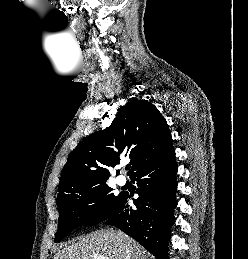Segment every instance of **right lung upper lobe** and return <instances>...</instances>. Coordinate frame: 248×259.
<instances>
[{
	"mask_svg": "<svg viewBox=\"0 0 248 259\" xmlns=\"http://www.w3.org/2000/svg\"><path fill=\"white\" fill-rule=\"evenodd\" d=\"M173 152L170 130L158 109L147 100L130 101L118 109L110 127L89 135L70 153L57 198L77 187L106 182L120 157H130L131 177Z\"/></svg>",
	"mask_w": 248,
	"mask_h": 259,
	"instance_id": "cb5924a9",
	"label": "right lung upper lobe"
}]
</instances>
